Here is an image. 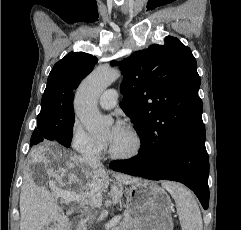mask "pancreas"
Wrapping results in <instances>:
<instances>
[{
	"instance_id": "obj_1",
	"label": "pancreas",
	"mask_w": 241,
	"mask_h": 230,
	"mask_svg": "<svg viewBox=\"0 0 241 230\" xmlns=\"http://www.w3.org/2000/svg\"><path fill=\"white\" fill-rule=\"evenodd\" d=\"M140 223L130 216H124L117 227L112 230H139ZM77 230H85L84 222H81Z\"/></svg>"
}]
</instances>
